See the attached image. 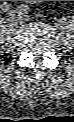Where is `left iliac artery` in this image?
Returning <instances> with one entry per match:
<instances>
[{"instance_id": "obj_1", "label": "left iliac artery", "mask_w": 74, "mask_h": 122, "mask_svg": "<svg viewBox=\"0 0 74 122\" xmlns=\"http://www.w3.org/2000/svg\"><path fill=\"white\" fill-rule=\"evenodd\" d=\"M19 10L22 11V12H24V13H28V12L31 11V8L29 6H27V5H21L19 7Z\"/></svg>"}]
</instances>
